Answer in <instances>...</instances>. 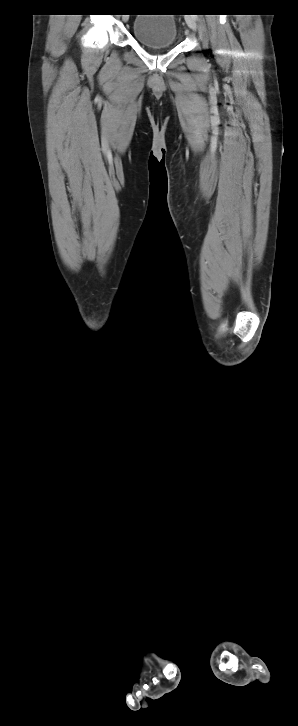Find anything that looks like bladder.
<instances>
[{
    "label": "bladder",
    "instance_id": "31cf9c89",
    "mask_svg": "<svg viewBox=\"0 0 298 726\" xmlns=\"http://www.w3.org/2000/svg\"><path fill=\"white\" fill-rule=\"evenodd\" d=\"M132 32L138 42L152 49L174 47L178 36L177 24L171 14H137Z\"/></svg>",
    "mask_w": 298,
    "mask_h": 726
}]
</instances>
